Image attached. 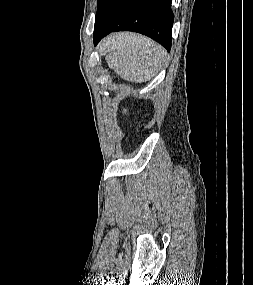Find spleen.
I'll return each instance as SVG.
<instances>
[{
    "label": "spleen",
    "mask_w": 253,
    "mask_h": 285,
    "mask_svg": "<svg viewBox=\"0 0 253 285\" xmlns=\"http://www.w3.org/2000/svg\"><path fill=\"white\" fill-rule=\"evenodd\" d=\"M109 67L127 81L142 83L153 78L167 63L163 47L151 39L134 34L120 33L108 41Z\"/></svg>",
    "instance_id": "spleen-1"
}]
</instances>
